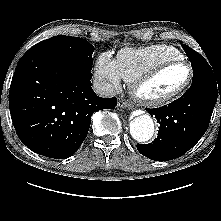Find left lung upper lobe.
<instances>
[{"instance_id": "1", "label": "left lung upper lobe", "mask_w": 221, "mask_h": 221, "mask_svg": "<svg viewBox=\"0 0 221 221\" xmlns=\"http://www.w3.org/2000/svg\"><path fill=\"white\" fill-rule=\"evenodd\" d=\"M182 47L191 61L193 68V81L215 73L214 69L212 70L213 67L211 68L202 55L186 44H183Z\"/></svg>"}]
</instances>
